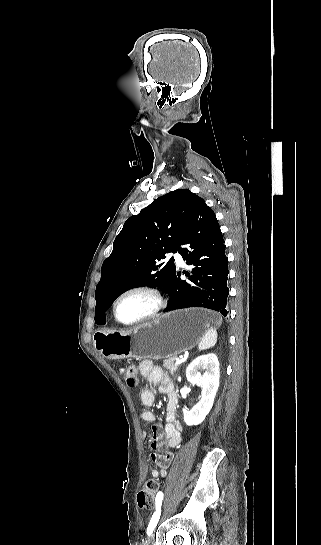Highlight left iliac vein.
Listing matches in <instances>:
<instances>
[{
  "mask_svg": "<svg viewBox=\"0 0 321 545\" xmlns=\"http://www.w3.org/2000/svg\"><path fill=\"white\" fill-rule=\"evenodd\" d=\"M169 506H170V504L167 505V507L163 510V514L168 510ZM152 544H153V541H152V540H149V541L147 542V545H152Z\"/></svg>",
  "mask_w": 321,
  "mask_h": 545,
  "instance_id": "4c4485c4",
  "label": "left iliac vein"
}]
</instances>
